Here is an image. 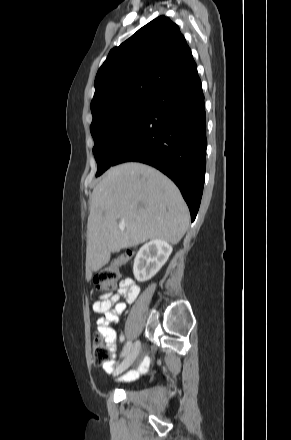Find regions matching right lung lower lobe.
Instances as JSON below:
<instances>
[{"mask_svg":"<svg viewBox=\"0 0 291 440\" xmlns=\"http://www.w3.org/2000/svg\"><path fill=\"white\" fill-rule=\"evenodd\" d=\"M206 148L204 95L196 68L154 97L143 123L112 166L135 161L159 169L178 186L194 221L203 192Z\"/></svg>","mask_w":291,"mask_h":440,"instance_id":"obj_1","label":"right lung lower lobe"}]
</instances>
